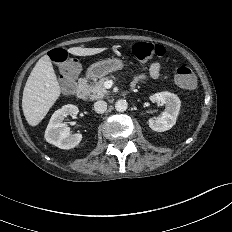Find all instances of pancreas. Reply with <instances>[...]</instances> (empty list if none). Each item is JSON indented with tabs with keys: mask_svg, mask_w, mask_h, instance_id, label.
Listing matches in <instances>:
<instances>
[{
	"mask_svg": "<svg viewBox=\"0 0 232 232\" xmlns=\"http://www.w3.org/2000/svg\"><path fill=\"white\" fill-rule=\"evenodd\" d=\"M108 78H102L93 85H86V92L91 100L101 99L108 95L107 89L104 87V82Z\"/></svg>",
	"mask_w": 232,
	"mask_h": 232,
	"instance_id": "obj_1",
	"label": "pancreas"
}]
</instances>
